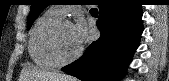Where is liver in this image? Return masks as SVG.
Wrapping results in <instances>:
<instances>
[{"instance_id": "liver-1", "label": "liver", "mask_w": 169, "mask_h": 81, "mask_svg": "<svg viewBox=\"0 0 169 81\" xmlns=\"http://www.w3.org/2000/svg\"><path fill=\"white\" fill-rule=\"evenodd\" d=\"M24 81H76L75 78L57 72L41 71L35 67L25 66Z\"/></svg>"}]
</instances>
